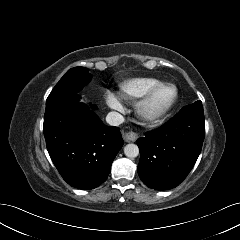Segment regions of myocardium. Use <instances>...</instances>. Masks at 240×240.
<instances>
[{"label":"myocardium","mask_w":240,"mask_h":240,"mask_svg":"<svg viewBox=\"0 0 240 240\" xmlns=\"http://www.w3.org/2000/svg\"><path fill=\"white\" fill-rule=\"evenodd\" d=\"M166 87H171L174 89V96L172 100L162 109L154 111L151 109L150 104L154 96L161 90ZM179 99V90L177 86L170 82H162L151 89H149L137 102L136 112L138 116L147 122H157L163 119L170 111L174 108Z\"/></svg>","instance_id":"obj_1"}]
</instances>
